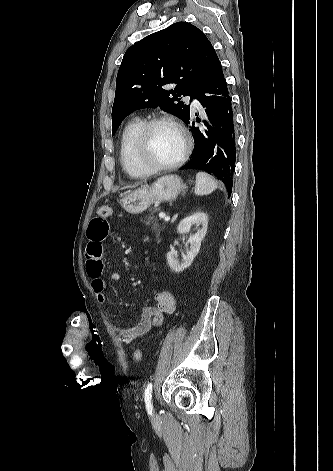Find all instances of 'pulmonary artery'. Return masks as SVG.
Here are the masks:
<instances>
[{
    "label": "pulmonary artery",
    "instance_id": "1",
    "mask_svg": "<svg viewBox=\"0 0 333 471\" xmlns=\"http://www.w3.org/2000/svg\"><path fill=\"white\" fill-rule=\"evenodd\" d=\"M192 104L194 107H199V102L197 100H193Z\"/></svg>",
    "mask_w": 333,
    "mask_h": 471
}]
</instances>
